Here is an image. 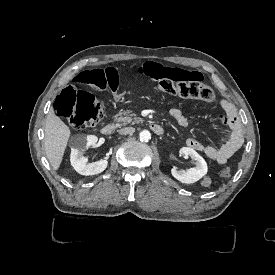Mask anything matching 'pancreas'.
I'll return each mask as SVG.
<instances>
[{
	"instance_id": "obj_1",
	"label": "pancreas",
	"mask_w": 275,
	"mask_h": 275,
	"mask_svg": "<svg viewBox=\"0 0 275 275\" xmlns=\"http://www.w3.org/2000/svg\"><path fill=\"white\" fill-rule=\"evenodd\" d=\"M114 122L116 123L117 127L127 126V125H134L135 123L142 122V118L137 117L136 114H130L128 111L120 112L115 115Z\"/></svg>"
}]
</instances>
